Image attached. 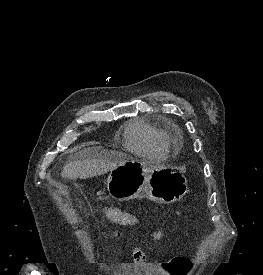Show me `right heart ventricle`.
Instances as JSON below:
<instances>
[{
  "instance_id": "1",
  "label": "right heart ventricle",
  "mask_w": 263,
  "mask_h": 275,
  "mask_svg": "<svg viewBox=\"0 0 263 275\" xmlns=\"http://www.w3.org/2000/svg\"><path fill=\"white\" fill-rule=\"evenodd\" d=\"M126 146L140 154H162L166 150L162 133L144 121L129 124L126 130Z\"/></svg>"
}]
</instances>
